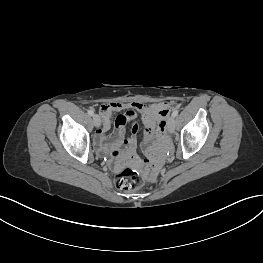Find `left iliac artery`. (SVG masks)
I'll return each instance as SVG.
<instances>
[{
    "mask_svg": "<svg viewBox=\"0 0 263 263\" xmlns=\"http://www.w3.org/2000/svg\"><path fill=\"white\" fill-rule=\"evenodd\" d=\"M172 115H173L174 117H176V116L178 115V110L175 109V110L173 111Z\"/></svg>",
    "mask_w": 263,
    "mask_h": 263,
    "instance_id": "left-iliac-artery-1",
    "label": "left iliac artery"
}]
</instances>
